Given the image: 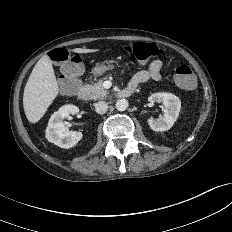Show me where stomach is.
<instances>
[{
	"label": "stomach",
	"instance_id": "obj_1",
	"mask_svg": "<svg viewBox=\"0 0 232 232\" xmlns=\"http://www.w3.org/2000/svg\"><path fill=\"white\" fill-rule=\"evenodd\" d=\"M114 64L115 63L113 61L98 63V64H96L95 67H93L92 73L95 76H100V75L104 74L105 72L114 69V67H115Z\"/></svg>",
	"mask_w": 232,
	"mask_h": 232
}]
</instances>
